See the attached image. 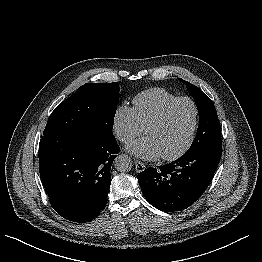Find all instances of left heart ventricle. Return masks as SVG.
I'll use <instances>...</instances> for the list:
<instances>
[{"label":"left heart ventricle","mask_w":262,"mask_h":262,"mask_svg":"<svg viewBox=\"0 0 262 262\" xmlns=\"http://www.w3.org/2000/svg\"><path fill=\"white\" fill-rule=\"evenodd\" d=\"M194 119V109L187 101L176 104L164 122L149 128L146 135L157 143L162 155L177 152L187 141Z\"/></svg>","instance_id":"left-heart-ventricle-1"}]
</instances>
